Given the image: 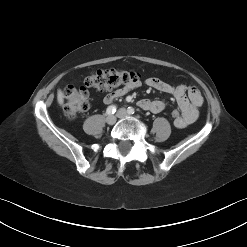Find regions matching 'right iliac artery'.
<instances>
[{"label":"right iliac artery","instance_id":"1","mask_svg":"<svg viewBox=\"0 0 247 247\" xmlns=\"http://www.w3.org/2000/svg\"><path fill=\"white\" fill-rule=\"evenodd\" d=\"M116 106L115 105H111V106H109L108 108H107V110H106V113L108 114V115H112V114H114L115 112H116Z\"/></svg>","mask_w":247,"mask_h":247}]
</instances>
